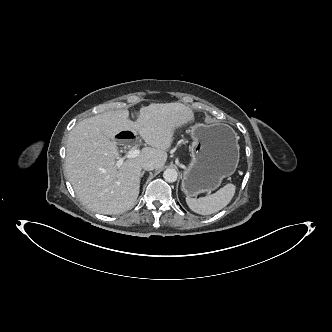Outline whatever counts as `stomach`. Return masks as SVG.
Returning <instances> with one entry per match:
<instances>
[{
    "label": "stomach",
    "instance_id": "0dacf381",
    "mask_svg": "<svg viewBox=\"0 0 332 332\" xmlns=\"http://www.w3.org/2000/svg\"><path fill=\"white\" fill-rule=\"evenodd\" d=\"M190 133L191 160L181 188L187 197L193 198L216 190L224 178L236 171L240 147L235 131L227 124H197Z\"/></svg>",
    "mask_w": 332,
    "mask_h": 332
}]
</instances>
